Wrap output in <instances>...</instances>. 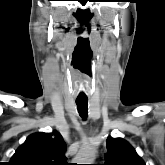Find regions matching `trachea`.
Wrapping results in <instances>:
<instances>
[{"label":"trachea","mask_w":165,"mask_h":165,"mask_svg":"<svg viewBox=\"0 0 165 165\" xmlns=\"http://www.w3.org/2000/svg\"><path fill=\"white\" fill-rule=\"evenodd\" d=\"M77 110L79 115L83 118H87L88 114V99L87 98H77L76 99Z\"/></svg>","instance_id":"trachea-1"}]
</instances>
